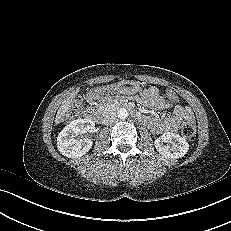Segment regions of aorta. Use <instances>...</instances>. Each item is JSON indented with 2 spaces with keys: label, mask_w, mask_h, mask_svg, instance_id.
<instances>
[{
  "label": "aorta",
  "mask_w": 231,
  "mask_h": 231,
  "mask_svg": "<svg viewBox=\"0 0 231 231\" xmlns=\"http://www.w3.org/2000/svg\"><path fill=\"white\" fill-rule=\"evenodd\" d=\"M117 116L120 119H126L128 116V111L125 108H121L118 110Z\"/></svg>",
  "instance_id": "aorta-1"
}]
</instances>
